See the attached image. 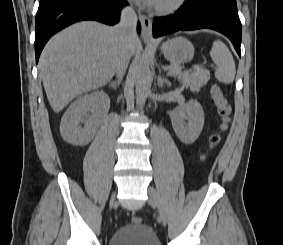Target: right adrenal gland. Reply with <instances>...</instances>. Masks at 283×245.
Masks as SVG:
<instances>
[{"instance_id": "2a0ac1e0", "label": "right adrenal gland", "mask_w": 283, "mask_h": 245, "mask_svg": "<svg viewBox=\"0 0 283 245\" xmlns=\"http://www.w3.org/2000/svg\"><path fill=\"white\" fill-rule=\"evenodd\" d=\"M121 83V77L118 78L117 81H112L108 84V87L112 88V89H117V87L120 85Z\"/></svg>"}]
</instances>
